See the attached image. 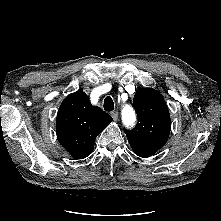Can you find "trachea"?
I'll return each instance as SVG.
<instances>
[{"instance_id":"obj_1","label":"trachea","mask_w":221,"mask_h":221,"mask_svg":"<svg viewBox=\"0 0 221 221\" xmlns=\"http://www.w3.org/2000/svg\"><path fill=\"white\" fill-rule=\"evenodd\" d=\"M104 110H106V111L114 110V102L110 96H107L104 99Z\"/></svg>"}]
</instances>
